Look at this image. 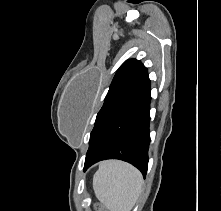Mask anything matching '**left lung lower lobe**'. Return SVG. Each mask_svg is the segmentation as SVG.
<instances>
[{"instance_id":"left-lung-lower-lobe-1","label":"left lung lower lobe","mask_w":221,"mask_h":211,"mask_svg":"<svg viewBox=\"0 0 221 211\" xmlns=\"http://www.w3.org/2000/svg\"><path fill=\"white\" fill-rule=\"evenodd\" d=\"M150 85L148 79L139 94L112 119L87 151L85 170L101 160L119 159L134 165L145 178L150 143Z\"/></svg>"}]
</instances>
